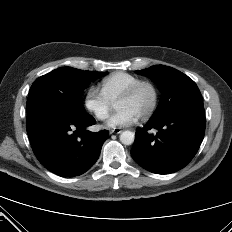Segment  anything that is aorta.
Returning <instances> with one entry per match:
<instances>
[{"label": "aorta", "mask_w": 232, "mask_h": 232, "mask_svg": "<svg viewBox=\"0 0 232 232\" xmlns=\"http://www.w3.org/2000/svg\"><path fill=\"white\" fill-rule=\"evenodd\" d=\"M135 135L133 132L126 130L120 134V141L124 145H131L134 142Z\"/></svg>", "instance_id": "aorta-1"}]
</instances>
